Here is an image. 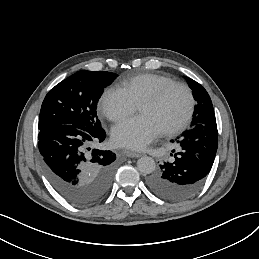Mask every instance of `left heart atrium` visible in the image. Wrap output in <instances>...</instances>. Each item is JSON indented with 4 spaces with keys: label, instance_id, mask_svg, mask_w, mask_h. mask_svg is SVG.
Instances as JSON below:
<instances>
[{
    "label": "left heart atrium",
    "instance_id": "1",
    "mask_svg": "<svg viewBox=\"0 0 259 259\" xmlns=\"http://www.w3.org/2000/svg\"><path fill=\"white\" fill-rule=\"evenodd\" d=\"M162 131L149 118L136 116L120 121L112 128V141L115 145L133 149H143Z\"/></svg>",
    "mask_w": 259,
    "mask_h": 259
}]
</instances>
